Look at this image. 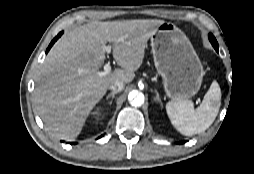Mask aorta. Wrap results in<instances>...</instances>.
Returning a JSON list of instances; mask_svg holds the SVG:
<instances>
[{"label":"aorta","instance_id":"obj_1","mask_svg":"<svg viewBox=\"0 0 254 174\" xmlns=\"http://www.w3.org/2000/svg\"><path fill=\"white\" fill-rule=\"evenodd\" d=\"M128 100L132 106L140 107L144 104L145 97L143 93L133 90L129 93Z\"/></svg>","mask_w":254,"mask_h":174}]
</instances>
